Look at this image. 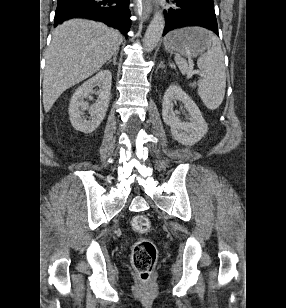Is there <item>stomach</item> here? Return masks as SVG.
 <instances>
[{
    "label": "stomach",
    "mask_w": 286,
    "mask_h": 308,
    "mask_svg": "<svg viewBox=\"0 0 286 308\" xmlns=\"http://www.w3.org/2000/svg\"><path fill=\"white\" fill-rule=\"evenodd\" d=\"M211 32L200 27H188L169 33L164 46L167 51L195 57L211 45Z\"/></svg>",
    "instance_id": "0dacf381"
}]
</instances>
